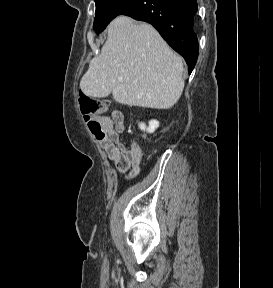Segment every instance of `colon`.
Instances as JSON below:
<instances>
[{"instance_id":"obj_1","label":"colon","mask_w":273,"mask_h":288,"mask_svg":"<svg viewBox=\"0 0 273 288\" xmlns=\"http://www.w3.org/2000/svg\"><path fill=\"white\" fill-rule=\"evenodd\" d=\"M80 110L89 130L97 138L104 137L99 117L106 111V104L98 98L81 94L79 97Z\"/></svg>"}]
</instances>
